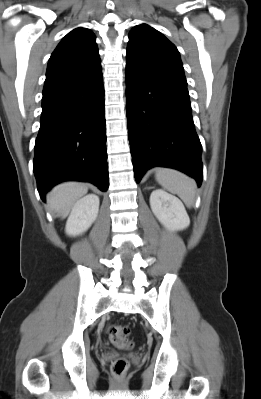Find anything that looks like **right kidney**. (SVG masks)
I'll return each instance as SVG.
<instances>
[{
  "label": "right kidney",
  "mask_w": 261,
  "mask_h": 399,
  "mask_svg": "<svg viewBox=\"0 0 261 399\" xmlns=\"http://www.w3.org/2000/svg\"><path fill=\"white\" fill-rule=\"evenodd\" d=\"M99 212V197L88 194L78 200L66 222L65 232L69 236H77L87 231L95 222Z\"/></svg>",
  "instance_id": "right-kidney-1"
}]
</instances>
